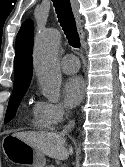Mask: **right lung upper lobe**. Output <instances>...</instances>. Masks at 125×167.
Masks as SVG:
<instances>
[{
	"instance_id": "right-lung-upper-lobe-1",
	"label": "right lung upper lobe",
	"mask_w": 125,
	"mask_h": 167,
	"mask_svg": "<svg viewBox=\"0 0 125 167\" xmlns=\"http://www.w3.org/2000/svg\"><path fill=\"white\" fill-rule=\"evenodd\" d=\"M33 22H23L17 38L14 59L15 77L13 92L28 89L32 78Z\"/></svg>"
}]
</instances>
